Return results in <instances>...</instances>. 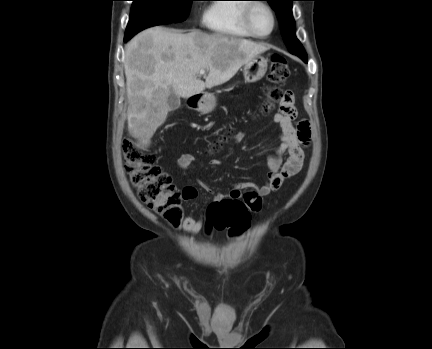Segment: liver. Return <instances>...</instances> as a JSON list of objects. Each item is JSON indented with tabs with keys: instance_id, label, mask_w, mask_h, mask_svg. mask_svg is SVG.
I'll return each mask as SVG.
<instances>
[{
	"instance_id": "obj_1",
	"label": "liver",
	"mask_w": 432,
	"mask_h": 349,
	"mask_svg": "<svg viewBox=\"0 0 432 349\" xmlns=\"http://www.w3.org/2000/svg\"><path fill=\"white\" fill-rule=\"evenodd\" d=\"M268 49L266 44L220 33H182L159 26L142 31L125 48L130 134L147 147L166 120L171 93L189 98L221 85ZM200 70L208 71L205 82Z\"/></svg>"
}]
</instances>
